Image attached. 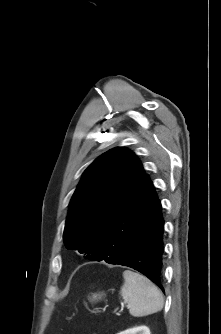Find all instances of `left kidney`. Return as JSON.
I'll return each instance as SVG.
<instances>
[{
    "label": "left kidney",
    "mask_w": 221,
    "mask_h": 334,
    "mask_svg": "<svg viewBox=\"0 0 221 334\" xmlns=\"http://www.w3.org/2000/svg\"><path fill=\"white\" fill-rule=\"evenodd\" d=\"M117 334H151L150 329L146 326L135 327L132 329H127Z\"/></svg>",
    "instance_id": "1"
}]
</instances>
